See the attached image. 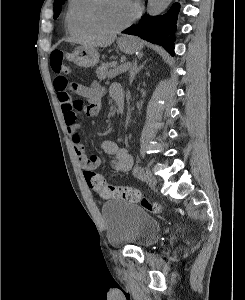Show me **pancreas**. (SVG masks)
<instances>
[{"instance_id": "1", "label": "pancreas", "mask_w": 245, "mask_h": 300, "mask_svg": "<svg viewBox=\"0 0 245 300\" xmlns=\"http://www.w3.org/2000/svg\"><path fill=\"white\" fill-rule=\"evenodd\" d=\"M115 64L114 63H103L101 64L97 70L96 74L97 77L102 80V79H110L115 76V71L114 69Z\"/></svg>"}]
</instances>
